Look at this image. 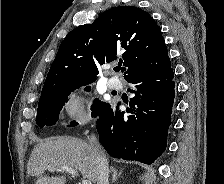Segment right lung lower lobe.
Segmentation results:
<instances>
[{"label":"right lung lower lobe","mask_w":224,"mask_h":184,"mask_svg":"<svg viewBox=\"0 0 224 184\" xmlns=\"http://www.w3.org/2000/svg\"><path fill=\"white\" fill-rule=\"evenodd\" d=\"M173 78L171 63L133 76L126 80L135 89L126 112L105 104L97 131L109 155L150 164L162 154L175 95Z\"/></svg>","instance_id":"1"}]
</instances>
